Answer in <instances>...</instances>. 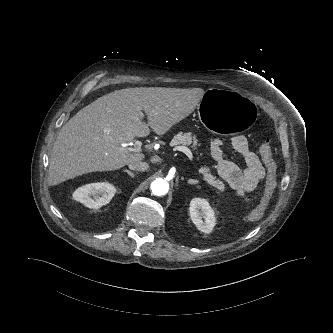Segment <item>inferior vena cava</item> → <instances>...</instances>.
I'll return each instance as SVG.
<instances>
[{
    "instance_id": "obj_1",
    "label": "inferior vena cava",
    "mask_w": 333,
    "mask_h": 333,
    "mask_svg": "<svg viewBox=\"0 0 333 333\" xmlns=\"http://www.w3.org/2000/svg\"><path fill=\"white\" fill-rule=\"evenodd\" d=\"M128 167L131 170L145 171L149 168V165H148V163L139 160V161H133V162L129 163Z\"/></svg>"
}]
</instances>
